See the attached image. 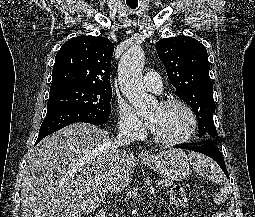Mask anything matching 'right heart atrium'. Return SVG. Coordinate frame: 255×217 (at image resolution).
I'll use <instances>...</instances> for the list:
<instances>
[{"label": "right heart atrium", "mask_w": 255, "mask_h": 217, "mask_svg": "<svg viewBox=\"0 0 255 217\" xmlns=\"http://www.w3.org/2000/svg\"><path fill=\"white\" fill-rule=\"evenodd\" d=\"M117 119L120 133L131 138H138L144 135L143 122L136 116L128 104L124 102L118 103Z\"/></svg>", "instance_id": "1"}]
</instances>
